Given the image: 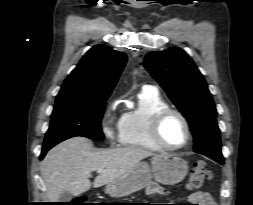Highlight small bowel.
Wrapping results in <instances>:
<instances>
[{"label":"small bowel","instance_id":"c3829d8e","mask_svg":"<svg viewBox=\"0 0 253 205\" xmlns=\"http://www.w3.org/2000/svg\"><path fill=\"white\" fill-rule=\"evenodd\" d=\"M147 193L149 195L160 193L164 194L166 193L165 189L161 187L157 183H151L147 188ZM188 200L192 203H196L193 205H214V202L210 195L203 191H195L188 195Z\"/></svg>","mask_w":253,"mask_h":205}]
</instances>
